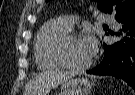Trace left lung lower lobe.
I'll return each instance as SVG.
<instances>
[{"mask_svg": "<svg viewBox=\"0 0 135 95\" xmlns=\"http://www.w3.org/2000/svg\"><path fill=\"white\" fill-rule=\"evenodd\" d=\"M117 21L120 29L111 35L119 40L112 45L104 44L102 62L87 73L123 79L135 91V10Z\"/></svg>", "mask_w": 135, "mask_h": 95, "instance_id": "obj_1", "label": "left lung lower lobe"}]
</instances>
